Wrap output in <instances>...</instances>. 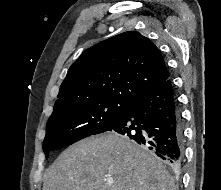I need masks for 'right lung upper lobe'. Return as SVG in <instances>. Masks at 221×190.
<instances>
[{"mask_svg":"<svg viewBox=\"0 0 221 190\" xmlns=\"http://www.w3.org/2000/svg\"><path fill=\"white\" fill-rule=\"evenodd\" d=\"M169 77L158 48L139 32H124L88 48L72 64L54 111L101 99L130 102Z\"/></svg>","mask_w":221,"mask_h":190,"instance_id":"cb5924a9","label":"right lung upper lobe"}]
</instances>
